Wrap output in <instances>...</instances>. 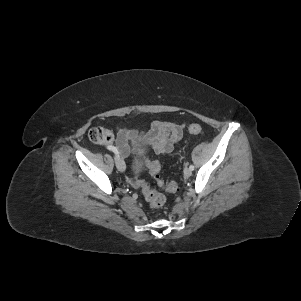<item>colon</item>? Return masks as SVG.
I'll return each instance as SVG.
<instances>
[{
    "instance_id": "1",
    "label": "colon",
    "mask_w": 301,
    "mask_h": 301,
    "mask_svg": "<svg viewBox=\"0 0 301 301\" xmlns=\"http://www.w3.org/2000/svg\"><path fill=\"white\" fill-rule=\"evenodd\" d=\"M188 131L191 134H199L202 132V127L199 124H191L188 127ZM89 139L96 144H109L113 140V135L111 131L105 128L95 127L89 130L88 133ZM147 165L149 167L150 173L152 177L154 178L156 184L159 187H162L166 189L169 192H175L178 190V184L176 182H170L168 184H165L159 177L160 173V163L157 160H151L149 159L147 161ZM140 186L142 193L145 197V199L148 201L150 206L152 207H160L164 204L165 198L164 196L154 190L150 183H144L140 181Z\"/></svg>"
}]
</instances>
